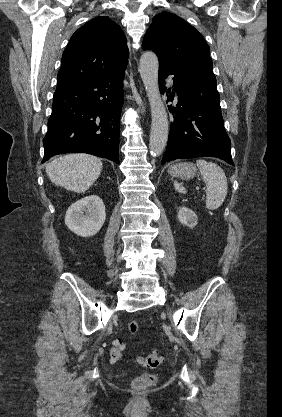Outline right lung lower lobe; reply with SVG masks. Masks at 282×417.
<instances>
[{
    "mask_svg": "<svg viewBox=\"0 0 282 417\" xmlns=\"http://www.w3.org/2000/svg\"><path fill=\"white\" fill-rule=\"evenodd\" d=\"M124 70L56 89L42 162L83 152L119 164Z\"/></svg>",
    "mask_w": 282,
    "mask_h": 417,
    "instance_id": "98d812e1",
    "label": "right lung lower lobe"
}]
</instances>
